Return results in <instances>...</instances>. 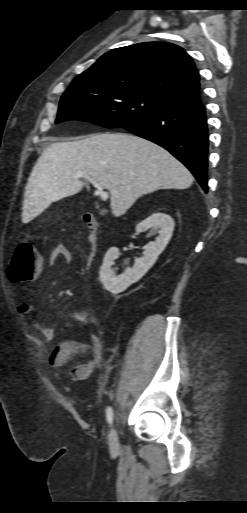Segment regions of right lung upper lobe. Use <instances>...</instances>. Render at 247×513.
Listing matches in <instances>:
<instances>
[{
	"mask_svg": "<svg viewBox=\"0 0 247 513\" xmlns=\"http://www.w3.org/2000/svg\"><path fill=\"white\" fill-rule=\"evenodd\" d=\"M199 80L193 60L181 47L147 42L107 52L73 82L127 89L176 106L200 100Z\"/></svg>",
	"mask_w": 247,
	"mask_h": 513,
	"instance_id": "obj_1",
	"label": "right lung upper lobe"
}]
</instances>
